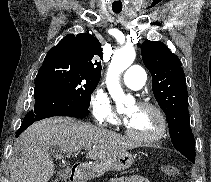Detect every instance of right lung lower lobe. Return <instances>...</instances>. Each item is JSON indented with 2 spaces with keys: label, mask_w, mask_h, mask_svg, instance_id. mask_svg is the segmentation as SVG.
<instances>
[{
  "label": "right lung lower lobe",
  "mask_w": 211,
  "mask_h": 182,
  "mask_svg": "<svg viewBox=\"0 0 211 182\" xmlns=\"http://www.w3.org/2000/svg\"><path fill=\"white\" fill-rule=\"evenodd\" d=\"M34 99V108L25 116L16 137L33 122L44 118L59 115L81 118L89 114L88 108L77 105L72 99L43 82H35Z\"/></svg>",
  "instance_id": "98d812e1"
}]
</instances>
